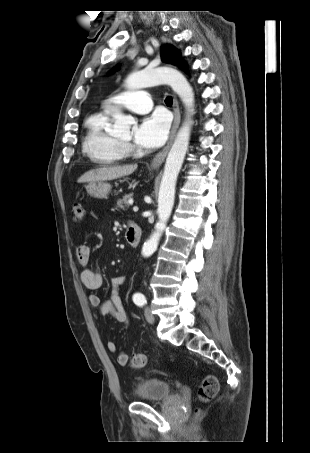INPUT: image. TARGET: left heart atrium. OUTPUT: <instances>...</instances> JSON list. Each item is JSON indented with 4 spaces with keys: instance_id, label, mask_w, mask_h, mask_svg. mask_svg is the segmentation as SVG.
I'll list each match as a JSON object with an SVG mask.
<instances>
[{
    "instance_id": "obj_1",
    "label": "left heart atrium",
    "mask_w": 310,
    "mask_h": 453,
    "mask_svg": "<svg viewBox=\"0 0 310 453\" xmlns=\"http://www.w3.org/2000/svg\"><path fill=\"white\" fill-rule=\"evenodd\" d=\"M170 122L163 113H154L141 120L134 129L135 143L144 149L151 150L161 146L168 135Z\"/></svg>"
}]
</instances>
